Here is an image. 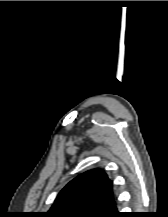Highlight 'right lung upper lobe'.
Wrapping results in <instances>:
<instances>
[{
    "label": "right lung upper lobe",
    "instance_id": "cb5924a9",
    "mask_svg": "<svg viewBox=\"0 0 168 217\" xmlns=\"http://www.w3.org/2000/svg\"><path fill=\"white\" fill-rule=\"evenodd\" d=\"M117 212L112 184L101 169L87 171L69 182L44 217H110Z\"/></svg>",
    "mask_w": 168,
    "mask_h": 217
}]
</instances>
